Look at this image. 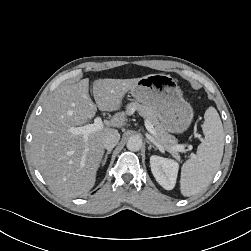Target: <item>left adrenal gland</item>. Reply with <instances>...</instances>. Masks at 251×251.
Returning <instances> with one entry per match:
<instances>
[{"label":"left adrenal gland","instance_id":"left-adrenal-gland-1","mask_svg":"<svg viewBox=\"0 0 251 251\" xmlns=\"http://www.w3.org/2000/svg\"><path fill=\"white\" fill-rule=\"evenodd\" d=\"M148 144H149L148 150H150L151 148L157 150V147H155L151 142L148 141Z\"/></svg>","mask_w":251,"mask_h":251}]
</instances>
